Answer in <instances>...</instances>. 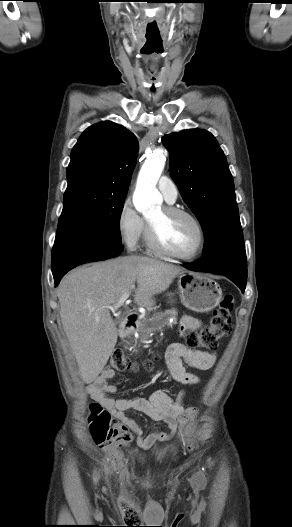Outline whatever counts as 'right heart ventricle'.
I'll list each match as a JSON object with an SVG mask.
<instances>
[{
	"label": "right heart ventricle",
	"mask_w": 292,
	"mask_h": 527,
	"mask_svg": "<svg viewBox=\"0 0 292 527\" xmlns=\"http://www.w3.org/2000/svg\"><path fill=\"white\" fill-rule=\"evenodd\" d=\"M145 240H146V242H147V235H146V231H145Z\"/></svg>",
	"instance_id": "e07e8e85"
}]
</instances>
